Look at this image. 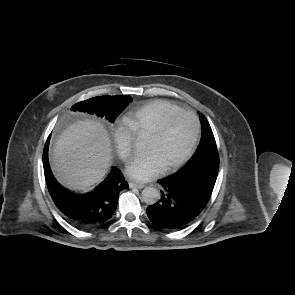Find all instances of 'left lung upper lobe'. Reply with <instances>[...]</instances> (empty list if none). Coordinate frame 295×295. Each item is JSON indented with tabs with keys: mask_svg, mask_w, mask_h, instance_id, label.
<instances>
[{
	"mask_svg": "<svg viewBox=\"0 0 295 295\" xmlns=\"http://www.w3.org/2000/svg\"><path fill=\"white\" fill-rule=\"evenodd\" d=\"M200 119L202 124V137L199 148L187 165L180 171H185L204 160L219 163L218 150L211 127L203 114L200 115Z\"/></svg>",
	"mask_w": 295,
	"mask_h": 295,
	"instance_id": "left-lung-upper-lobe-1",
	"label": "left lung upper lobe"
}]
</instances>
